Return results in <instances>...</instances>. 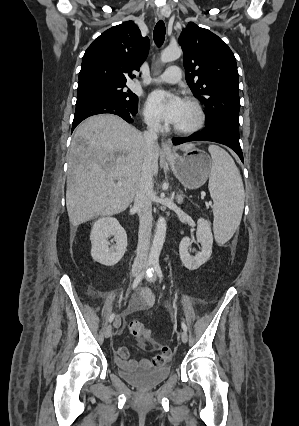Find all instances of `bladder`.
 Wrapping results in <instances>:
<instances>
[{
	"label": "bladder",
	"mask_w": 299,
	"mask_h": 426,
	"mask_svg": "<svg viewBox=\"0 0 299 426\" xmlns=\"http://www.w3.org/2000/svg\"><path fill=\"white\" fill-rule=\"evenodd\" d=\"M171 373L169 366L153 368H141L138 370L119 369L118 375L131 385L148 390L157 387L164 382Z\"/></svg>",
	"instance_id": "obj_1"
}]
</instances>
